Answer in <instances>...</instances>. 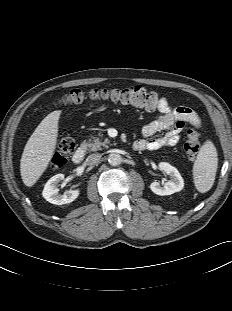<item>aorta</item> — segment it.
<instances>
[{
	"label": "aorta",
	"instance_id": "obj_1",
	"mask_svg": "<svg viewBox=\"0 0 232 311\" xmlns=\"http://www.w3.org/2000/svg\"><path fill=\"white\" fill-rule=\"evenodd\" d=\"M108 162L112 166H117V165L121 164L122 157H121V155H119L117 153H111L108 157Z\"/></svg>",
	"mask_w": 232,
	"mask_h": 311
}]
</instances>
